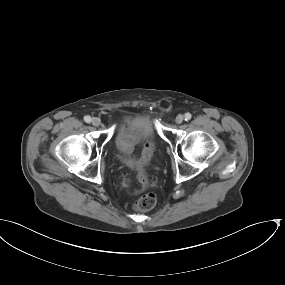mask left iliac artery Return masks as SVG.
<instances>
[{"label": "left iliac artery", "instance_id": "left-iliac-artery-1", "mask_svg": "<svg viewBox=\"0 0 285 285\" xmlns=\"http://www.w3.org/2000/svg\"><path fill=\"white\" fill-rule=\"evenodd\" d=\"M191 117H192V115H191L190 113H186V114L184 115V119H185L186 121H189V120L191 119Z\"/></svg>", "mask_w": 285, "mask_h": 285}]
</instances>
